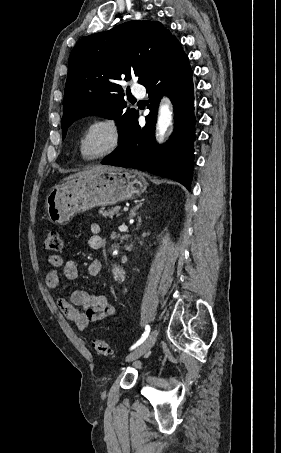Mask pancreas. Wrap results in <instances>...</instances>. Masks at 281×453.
<instances>
[{
	"instance_id": "cf45deb5",
	"label": "pancreas",
	"mask_w": 281,
	"mask_h": 453,
	"mask_svg": "<svg viewBox=\"0 0 281 453\" xmlns=\"http://www.w3.org/2000/svg\"><path fill=\"white\" fill-rule=\"evenodd\" d=\"M119 210L120 206H114V208H108V210H104V206L100 208L101 214H103V216H110V218H113L114 214H116V216H120Z\"/></svg>"
}]
</instances>
